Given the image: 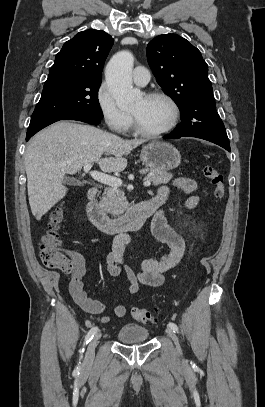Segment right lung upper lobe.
<instances>
[{
	"label": "right lung upper lobe",
	"instance_id": "cb5924a9",
	"mask_svg": "<svg viewBox=\"0 0 265 407\" xmlns=\"http://www.w3.org/2000/svg\"><path fill=\"white\" fill-rule=\"evenodd\" d=\"M114 39L104 31L89 29L67 41L56 55L50 76H71L101 80V72Z\"/></svg>",
	"mask_w": 265,
	"mask_h": 407
}]
</instances>
